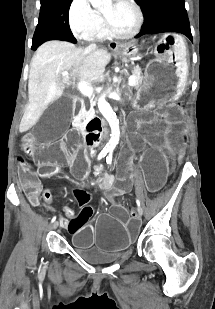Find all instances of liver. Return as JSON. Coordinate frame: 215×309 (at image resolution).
<instances>
[{
  "label": "liver",
  "instance_id": "1",
  "mask_svg": "<svg viewBox=\"0 0 215 309\" xmlns=\"http://www.w3.org/2000/svg\"><path fill=\"white\" fill-rule=\"evenodd\" d=\"M110 58L105 48L87 50L64 40H48L41 44L30 62L29 102L20 122V132L28 130L46 106L63 94L65 86L58 82L61 72L67 70L73 80H96Z\"/></svg>",
  "mask_w": 215,
  "mask_h": 309
}]
</instances>
